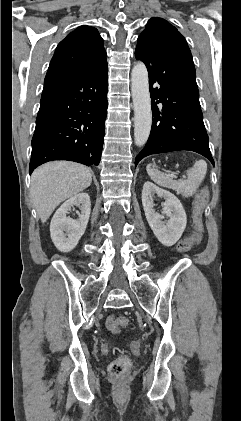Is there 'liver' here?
Wrapping results in <instances>:
<instances>
[{
	"label": "liver",
	"mask_w": 241,
	"mask_h": 421,
	"mask_svg": "<svg viewBox=\"0 0 241 421\" xmlns=\"http://www.w3.org/2000/svg\"><path fill=\"white\" fill-rule=\"evenodd\" d=\"M92 182V171L74 162L54 161L38 167L31 176V198L43 223L55 208Z\"/></svg>",
	"instance_id": "1"
}]
</instances>
